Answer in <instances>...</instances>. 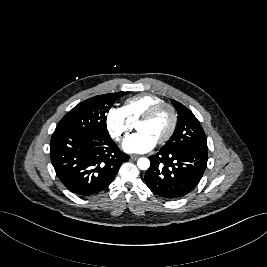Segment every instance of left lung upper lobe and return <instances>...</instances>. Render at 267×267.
Here are the masks:
<instances>
[{
  "label": "left lung upper lobe",
  "instance_id": "obj_1",
  "mask_svg": "<svg viewBox=\"0 0 267 267\" xmlns=\"http://www.w3.org/2000/svg\"><path fill=\"white\" fill-rule=\"evenodd\" d=\"M171 102L178 112V122L173 135L161 150L181 148L207 150L206 136L197 118L181 103L172 99Z\"/></svg>",
  "mask_w": 267,
  "mask_h": 267
}]
</instances>
